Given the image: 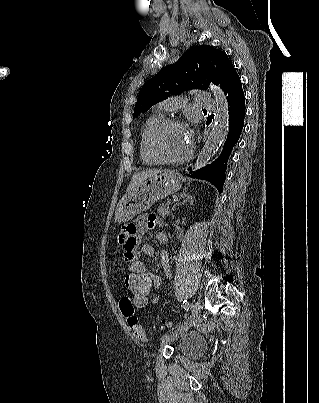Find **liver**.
I'll use <instances>...</instances> for the list:
<instances>
[{
  "label": "liver",
  "mask_w": 319,
  "mask_h": 403,
  "mask_svg": "<svg viewBox=\"0 0 319 403\" xmlns=\"http://www.w3.org/2000/svg\"><path fill=\"white\" fill-rule=\"evenodd\" d=\"M161 172H162V170H147V171H143V172L135 174L131 179V182L126 190V193L130 192L135 186H137L142 181H144L152 176H155Z\"/></svg>",
  "instance_id": "liver-1"
}]
</instances>
